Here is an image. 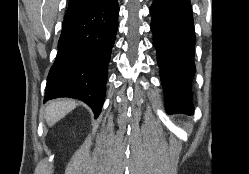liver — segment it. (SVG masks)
Returning <instances> with one entry per match:
<instances>
[{
  "instance_id": "liver-1",
  "label": "liver",
  "mask_w": 249,
  "mask_h": 174,
  "mask_svg": "<svg viewBox=\"0 0 249 174\" xmlns=\"http://www.w3.org/2000/svg\"><path fill=\"white\" fill-rule=\"evenodd\" d=\"M76 105V101L72 99H62L49 102L45 109V119L47 124L53 126L75 109Z\"/></svg>"
}]
</instances>
